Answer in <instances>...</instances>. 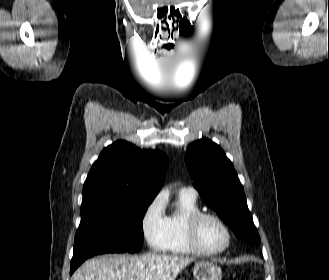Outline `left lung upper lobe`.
I'll list each match as a JSON object with an SVG mask.
<instances>
[{
    "mask_svg": "<svg viewBox=\"0 0 329 280\" xmlns=\"http://www.w3.org/2000/svg\"><path fill=\"white\" fill-rule=\"evenodd\" d=\"M185 163L202 200L218 212L238 238L259 244L243 187L221 147L207 138L197 140L188 146Z\"/></svg>",
    "mask_w": 329,
    "mask_h": 280,
    "instance_id": "1",
    "label": "left lung upper lobe"
}]
</instances>
